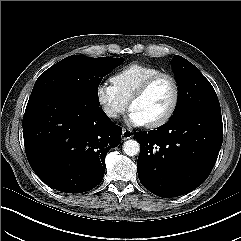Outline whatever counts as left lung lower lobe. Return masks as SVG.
Here are the masks:
<instances>
[{"instance_id": "1", "label": "left lung lower lobe", "mask_w": 241, "mask_h": 241, "mask_svg": "<svg viewBox=\"0 0 241 241\" xmlns=\"http://www.w3.org/2000/svg\"><path fill=\"white\" fill-rule=\"evenodd\" d=\"M134 137L141 145V184L159 197L184 195L199 187L214 167L223 141L221 110L185 111Z\"/></svg>"}]
</instances>
